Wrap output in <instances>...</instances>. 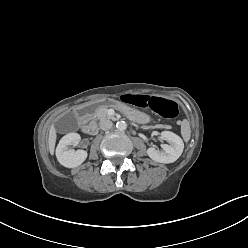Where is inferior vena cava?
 Masks as SVG:
<instances>
[{
	"label": "inferior vena cava",
	"mask_w": 248,
	"mask_h": 248,
	"mask_svg": "<svg viewBox=\"0 0 248 248\" xmlns=\"http://www.w3.org/2000/svg\"><path fill=\"white\" fill-rule=\"evenodd\" d=\"M113 123L110 120H103L100 122V128L102 130H109L112 127Z\"/></svg>",
	"instance_id": "inferior-vena-cava-1"
}]
</instances>
